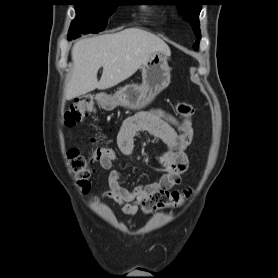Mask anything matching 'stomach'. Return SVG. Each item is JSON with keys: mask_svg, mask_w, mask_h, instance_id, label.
<instances>
[{"mask_svg": "<svg viewBox=\"0 0 278 278\" xmlns=\"http://www.w3.org/2000/svg\"><path fill=\"white\" fill-rule=\"evenodd\" d=\"M170 57V52L162 51L150 55L142 65V83L126 85L113 95H102L99 99L101 107L106 110L116 106L140 110L149 105L170 83Z\"/></svg>", "mask_w": 278, "mask_h": 278, "instance_id": "1", "label": "stomach"}]
</instances>
